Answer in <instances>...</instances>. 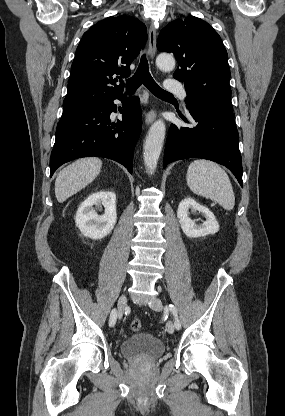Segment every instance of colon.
Returning a JSON list of instances; mask_svg holds the SVG:
<instances>
[{
  "mask_svg": "<svg viewBox=\"0 0 285 416\" xmlns=\"http://www.w3.org/2000/svg\"><path fill=\"white\" fill-rule=\"evenodd\" d=\"M131 329L133 330V331H139L140 329H141V327H142V322H141V320H139V319H134L132 322H131Z\"/></svg>",
  "mask_w": 285,
  "mask_h": 416,
  "instance_id": "colon-1",
  "label": "colon"
}]
</instances>
